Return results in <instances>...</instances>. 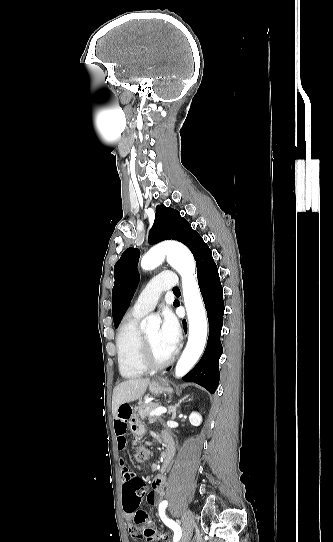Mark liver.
Masks as SVG:
<instances>
[{
  "instance_id": "6515ba94",
  "label": "liver",
  "mask_w": 333,
  "mask_h": 542,
  "mask_svg": "<svg viewBox=\"0 0 333 542\" xmlns=\"http://www.w3.org/2000/svg\"><path fill=\"white\" fill-rule=\"evenodd\" d=\"M148 384H150V378H132V380H126V382H121V384L115 386L112 396L113 418H117L121 404L140 400L145 394Z\"/></svg>"
}]
</instances>
